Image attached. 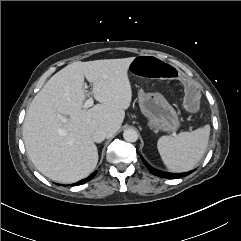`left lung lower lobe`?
<instances>
[{"mask_svg": "<svg viewBox=\"0 0 241 241\" xmlns=\"http://www.w3.org/2000/svg\"><path fill=\"white\" fill-rule=\"evenodd\" d=\"M142 160H143V158H142ZM143 163L147 166V168L149 169V171L151 173H153L156 176L163 177V178L177 179V178H181L183 176H187L191 173V172L182 173V174L166 173V172H162V171L152 168L145 161H143Z\"/></svg>", "mask_w": 241, "mask_h": 241, "instance_id": "0a47b994", "label": "left lung lower lobe"}]
</instances>
